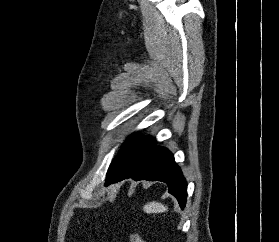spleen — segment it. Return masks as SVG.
<instances>
[{
	"label": "spleen",
	"mask_w": 279,
	"mask_h": 242,
	"mask_svg": "<svg viewBox=\"0 0 279 242\" xmlns=\"http://www.w3.org/2000/svg\"><path fill=\"white\" fill-rule=\"evenodd\" d=\"M146 213H163L168 210V208L159 202H150L143 207Z\"/></svg>",
	"instance_id": "1"
}]
</instances>
